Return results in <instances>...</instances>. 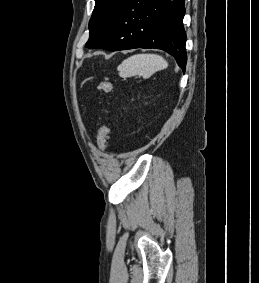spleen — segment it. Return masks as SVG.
I'll return each mask as SVG.
<instances>
[{
	"label": "spleen",
	"mask_w": 259,
	"mask_h": 283,
	"mask_svg": "<svg viewBox=\"0 0 259 283\" xmlns=\"http://www.w3.org/2000/svg\"><path fill=\"white\" fill-rule=\"evenodd\" d=\"M167 61L157 54H136L125 59L119 66L118 71L121 77L141 75L148 78L155 72L166 69Z\"/></svg>",
	"instance_id": "3e777b00"
}]
</instances>
